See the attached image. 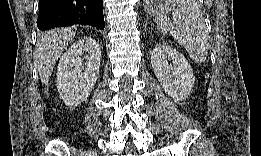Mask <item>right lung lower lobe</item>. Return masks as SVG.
Segmentation results:
<instances>
[{
    "instance_id": "obj_1",
    "label": "right lung lower lobe",
    "mask_w": 261,
    "mask_h": 156,
    "mask_svg": "<svg viewBox=\"0 0 261 156\" xmlns=\"http://www.w3.org/2000/svg\"><path fill=\"white\" fill-rule=\"evenodd\" d=\"M74 24L104 29L103 0H40L37 20L40 30Z\"/></svg>"
}]
</instances>
